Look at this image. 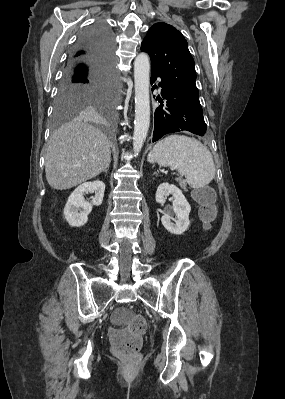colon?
<instances>
[{
    "instance_id": "colon-1",
    "label": "colon",
    "mask_w": 285,
    "mask_h": 399,
    "mask_svg": "<svg viewBox=\"0 0 285 399\" xmlns=\"http://www.w3.org/2000/svg\"><path fill=\"white\" fill-rule=\"evenodd\" d=\"M193 196L200 203L201 219L208 226L215 217L213 194L207 188H201L195 190ZM145 328L144 319L131 316L123 327L111 330L109 336L113 353L125 360L135 358L142 346Z\"/></svg>"
}]
</instances>
